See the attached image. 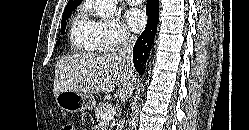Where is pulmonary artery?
<instances>
[{
	"instance_id": "1",
	"label": "pulmonary artery",
	"mask_w": 249,
	"mask_h": 130,
	"mask_svg": "<svg viewBox=\"0 0 249 130\" xmlns=\"http://www.w3.org/2000/svg\"><path fill=\"white\" fill-rule=\"evenodd\" d=\"M127 3L131 4V5H134V4H138L140 3L142 0H126Z\"/></svg>"
}]
</instances>
